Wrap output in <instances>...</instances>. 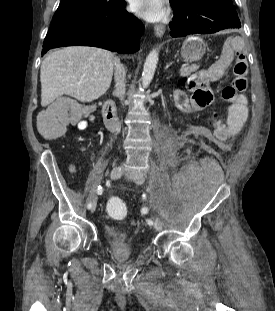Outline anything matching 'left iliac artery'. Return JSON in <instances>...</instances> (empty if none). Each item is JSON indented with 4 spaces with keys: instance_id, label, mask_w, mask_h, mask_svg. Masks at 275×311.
Returning a JSON list of instances; mask_svg holds the SVG:
<instances>
[{
    "instance_id": "1",
    "label": "left iliac artery",
    "mask_w": 275,
    "mask_h": 311,
    "mask_svg": "<svg viewBox=\"0 0 275 311\" xmlns=\"http://www.w3.org/2000/svg\"><path fill=\"white\" fill-rule=\"evenodd\" d=\"M148 224H152V221H151V220H148Z\"/></svg>"
}]
</instances>
